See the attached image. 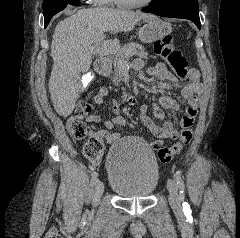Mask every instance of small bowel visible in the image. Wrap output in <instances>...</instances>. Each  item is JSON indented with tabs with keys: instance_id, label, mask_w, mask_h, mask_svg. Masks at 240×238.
Returning <instances> with one entry per match:
<instances>
[{
	"instance_id": "c3829d8e",
	"label": "small bowel",
	"mask_w": 240,
	"mask_h": 238,
	"mask_svg": "<svg viewBox=\"0 0 240 238\" xmlns=\"http://www.w3.org/2000/svg\"><path fill=\"white\" fill-rule=\"evenodd\" d=\"M133 66L135 69H141L143 67V62L141 60H136L133 63ZM148 73L154 77L159 88L178 89L180 90L181 95V101L174 100L167 96H161L158 102L153 104V116L156 119L162 120V125H157L154 122L153 118L148 114L147 105H142L139 109L142 123L156 137V140L151 144V146L156 149L163 144L165 139L176 138L178 135L173 122L165 120V114L162 108L180 111L184 109L183 102H186L187 106L185 107V113L179 121V125L182 128L191 127L197 115L198 96L201 94L202 87L199 73L195 69L190 70V81L184 85L173 76L164 63H157L150 67ZM107 95L108 89L106 87L101 88L98 94L94 97L95 104L101 105ZM111 107L114 113V117L111 119H103L102 116L98 114H88L86 117L88 122L104 123L106 127L105 139L107 143H114L120 139L119 133L114 132V129L125 124V120L120 114V106L116 100H111ZM103 156L104 155L102 154L101 157ZM101 157L99 158L100 160L102 159Z\"/></svg>"
}]
</instances>
